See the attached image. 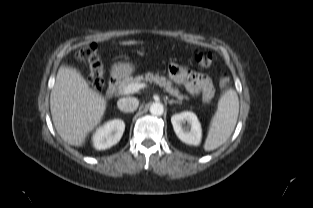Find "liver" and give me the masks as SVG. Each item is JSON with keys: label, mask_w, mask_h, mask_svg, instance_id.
I'll use <instances>...</instances> for the list:
<instances>
[{"label": "liver", "mask_w": 313, "mask_h": 208, "mask_svg": "<svg viewBox=\"0 0 313 208\" xmlns=\"http://www.w3.org/2000/svg\"><path fill=\"white\" fill-rule=\"evenodd\" d=\"M136 41L122 42L133 45ZM53 124L68 144L82 146L86 137L100 122L106 110V100L89 87L75 68L61 65L50 94Z\"/></svg>", "instance_id": "6515ba94"}]
</instances>
